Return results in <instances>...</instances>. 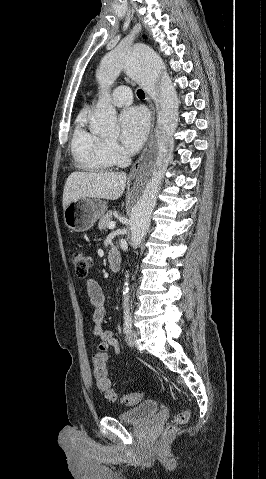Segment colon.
<instances>
[{
  "label": "colon",
  "instance_id": "5ec220e1",
  "mask_svg": "<svg viewBox=\"0 0 266 479\" xmlns=\"http://www.w3.org/2000/svg\"><path fill=\"white\" fill-rule=\"evenodd\" d=\"M71 262L75 268L76 275L78 277L84 278L88 275L92 266V257L84 251L77 249L71 254ZM107 361V346L105 344H100L97 352L93 356L94 378L99 391L109 402L119 401L125 405H135L139 403L142 399V393L140 391L127 393L119 397L113 390L109 378ZM189 416L190 414L187 410H179L174 416L172 424H170L165 431L166 437L174 435L177 431V427L186 423L189 419Z\"/></svg>",
  "mask_w": 266,
  "mask_h": 479
}]
</instances>
